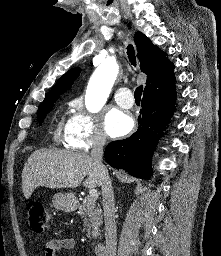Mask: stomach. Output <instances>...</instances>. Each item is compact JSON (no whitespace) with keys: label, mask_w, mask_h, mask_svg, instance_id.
<instances>
[{"label":"stomach","mask_w":221,"mask_h":256,"mask_svg":"<svg viewBox=\"0 0 221 256\" xmlns=\"http://www.w3.org/2000/svg\"><path fill=\"white\" fill-rule=\"evenodd\" d=\"M53 206L65 212H72L77 207L76 197L71 193H56L52 200Z\"/></svg>","instance_id":"0dacf381"}]
</instances>
